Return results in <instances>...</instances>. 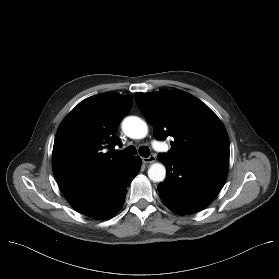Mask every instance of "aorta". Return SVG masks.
Segmentation results:
<instances>
[{
	"label": "aorta",
	"instance_id": "1",
	"mask_svg": "<svg viewBox=\"0 0 279 279\" xmlns=\"http://www.w3.org/2000/svg\"><path fill=\"white\" fill-rule=\"evenodd\" d=\"M122 130L132 139H142L148 134V126L144 120L136 116L126 117L122 122ZM148 177L153 182H162L166 177V168L161 163H154L148 169Z\"/></svg>",
	"mask_w": 279,
	"mask_h": 279
}]
</instances>
